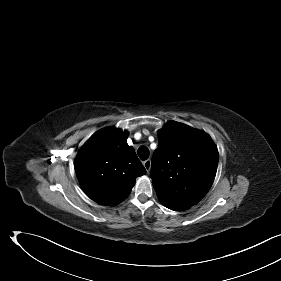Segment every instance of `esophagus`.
<instances>
[{
	"instance_id": "obj_1",
	"label": "esophagus",
	"mask_w": 281,
	"mask_h": 281,
	"mask_svg": "<svg viewBox=\"0 0 281 281\" xmlns=\"http://www.w3.org/2000/svg\"><path fill=\"white\" fill-rule=\"evenodd\" d=\"M143 165H144L146 171L149 172V171H150V168H151V160H150V159L145 160V161L143 162Z\"/></svg>"
}]
</instances>
